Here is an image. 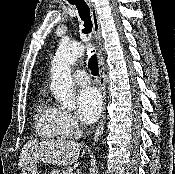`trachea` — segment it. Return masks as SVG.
I'll list each match as a JSON object with an SVG mask.
<instances>
[{"label":"trachea","instance_id":"obj_1","mask_svg":"<svg viewBox=\"0 0 175 174\" xmlns=\"http://www.w3.org/2000/svg\"><path fill=\"white\" fill-rule=\"evenodd\" d=\"M73 4L76 5L79 16L81 20L84 22V28L82 32L84 34H89L92 31L93 27L89 6L86 4L84 0H75ZM89 68L94 76H97L99 74L96 54L92 55L91 58L89 59Z\"/></svg>","mask_w":175,"mask_h":174}]
</instances>
